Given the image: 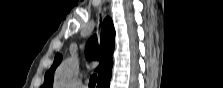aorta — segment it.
Returning a JSON list of instances; mask_svg holds the SVG:
<instances>
[{
  "mask_svg": "<svg viewBox=\"0 0 223 88\" xmlns=\"http://www.w3.org/2000/svg\"><path fill=\"white\" fill-rule=\"evenodd\" d=\"M76 77V64L73 59L65 60L55 75L57 88H71Z\"/></svg>",
  "mask_w": 223,
  "mask_h": 88,
  "instance_id": "aorta-1",
  "label": "aorta"
}]
</instances>
